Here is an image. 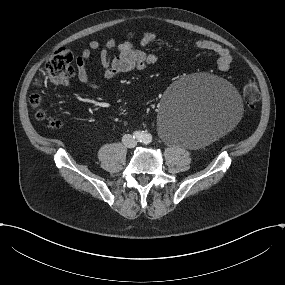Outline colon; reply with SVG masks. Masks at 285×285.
Instances as JSON below:
<instances>
[{"instance_id":"5ec220e1","label":"colon","mask_w":285,"mask_h":285,"mask_svg":"<svg viewBox=\"0 0 285 285\" xmlns=\"http://www.w3.org/2000/svg\"><path fill=\"white\" fill-rule=\"evenodd\" d=\"M147 34L148 33L145 35ZM72 61L73 56L69 50L60 48L55 51L45 64V72L47 78L52 83L58 85L66 82L67 79L70 78L74 73ZM37 83L40 84V80H38ZM242 95L248 105H254L260 99L259 88L253 82H249L244 85L242 89ZM29 101L32 106L38 107L40 105L41 99L39 95L33 94L31 95ZM36 117L39 120H44L46 119V113L42 109H38L36 112ZM49 126L55 129H59L63 126V123L58 119H51L49 121Z\"/></svg>"}]
</instances>
